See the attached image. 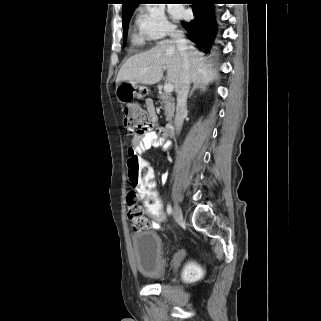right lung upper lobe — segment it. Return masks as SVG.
Instances as JSON below:
<instances>
[{
  "label": "right lung upper lobe",
  "mask_w": 321,
  "mask_h": 321,
  "mask_svg": "<svg viewBox=\"0 0 321 321\" xmlns=\"http://www.w3.org/2000/svg\"><path fill=\"white\" fill-rule=\"evenodd\" d=\"M145 0H123L122 15L133 12L137 4Z\"/></svg>",
  "instance_id": "obj_1"
}]
</instances>
